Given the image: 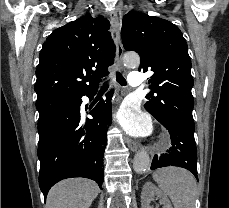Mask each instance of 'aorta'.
<instances>
[{"instance_id":"1","label":"aorta","mask_w":229,"mask_h":208,"mask_svg":"<svg viewBox=\"0 0 229 208\" xmlns=\"http://www.w3.org/2000/svg\"><path fill=\"white\" fill-rule=\"evenodd\" d=\"M124 62L127 67L136 68L140 64V58L136 53L124 55ZM150 167V157L144 150L137 152L134 156L133 169L136 173H143Z\"/></svg>"}]
</instances>
